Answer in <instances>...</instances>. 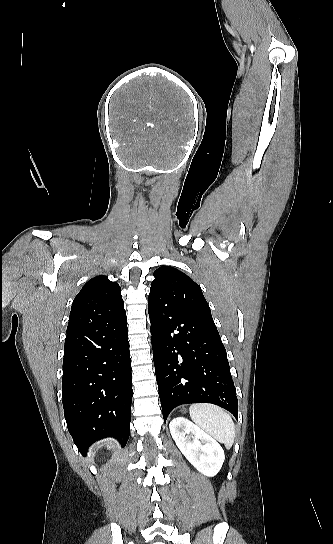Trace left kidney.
Listing matches in <instances>:
<instances>
[{
	"instance_id": "1",
	"label": "left kidney",
	"mask_w": 333,
	"mask_h": 544,
	"mask_svg": "<svg viewBox=\"0 0 333 544\" xmlns=\"http://www.w3.org/2000/svg\"><path fill=\"white\" fill-rule=\"evenodd\" d=\"M169 428L180 451L199 472L213 477L220 471L225 455L213 437L183 417L173 419Z\"/></svg>"
}]
</instances>
